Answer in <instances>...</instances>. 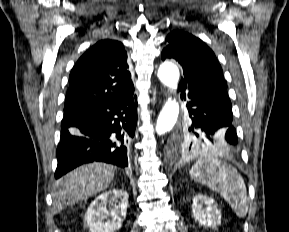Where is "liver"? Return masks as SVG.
I'll use <instances>...</instances> for the list:
<instances>
[{"mask_svg": "<svg viewBox=\"0 0 289 232\" xmlns=\"http://www.w3.org/2000/svg\"><path fill=\"white\" fill-rule=\"evenodd\" d=\"M115 175L113 166L93 162L81 165L56 182L53 213L106 190Z\"/></svg>", "mask_w": 289, "mask_h": 232, "instance_id": "6515ba94", "label": "liver"}]
</instances>
